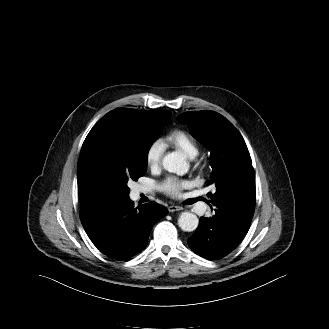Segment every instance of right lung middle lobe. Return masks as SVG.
<instances>
[{
	"instance_id": "right-lung-middle-lobe-1",
	"label": "right lung middle lobe",
	"mask_w": 329,
	"mask_h": 329,
	"mask_svg": "<svg viewBox=\"0 0 329 329\" xmlns=\"http://www.w3.org/2000/svg\"><path fill=\"white\" fill-rule=\"evenodd\" d=\"M169 119L170 115L157 117L139 128L120 114L107 113L96 128L101 138L80 153L81 207L103 198H127L128 181L146 173L148 150Z\"/></svg>"
}]
</instances>
